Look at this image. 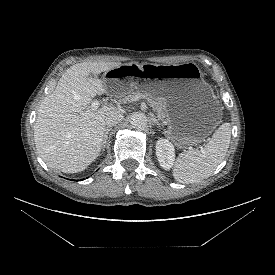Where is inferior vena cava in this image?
Wrapping results in <instances>:
<instances>
[{
    "label": "inferior vena cava",
    "instance_id": "1",
    "mask_svg": "<svg viewBox=\"0 0 275 275\" xmlns=\"http://www.w3.org/2000/svg\"><path fill=\"white\" fill-rule=\"evenodd\" d=\"M123 120V114L118 111H110L105 117V124L108 127L115 126Z\"/></svg>",
    "mask_w": 275,
    "mask_h": 275
}]
</instances>
